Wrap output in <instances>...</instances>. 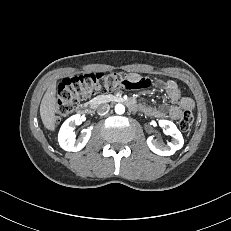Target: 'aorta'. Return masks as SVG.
<instances>
[{
	"label": "aorta",
	"instance_id": "1",
	"mask_svg": "<svg viewBox=\"0 0 231 231\" xmlns=\"http://www.w3.org/2000/svg\"><path fill=\"white\" fill-rule=\"evenodd\" d=\"M115 112L117 114H123L125 112V107L123 104H116L115 105Z\"/></svg>",
	"mask_w": 231,
	"mask_h": 231
}]
</instances>
